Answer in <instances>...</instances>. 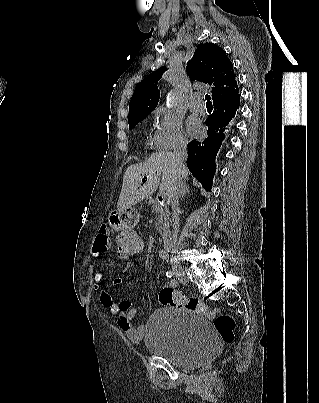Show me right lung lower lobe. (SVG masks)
<instances>
[{
    "label": "right lung lower lobe",
    "mask_w": 319,
    "mask_h": 403,
    "mask_svg": "<svg viewBox=\"0 0 319 403\" xmlns=\"http://www.w3.org/2000/svg\"><path fill=\"white\" fill-rule=\"evenodd\" d=\"M240 95L238 91L228 97L213 102L214 113L205 121L208 126V137L202 141L193 140L188 144L187 166L196 179L206 190H211L214 176L215 157L224 139L225 127L235 116L239 108Z\"/></svg>",
    "instance_id": "98d812e1"
}]
</instances>
